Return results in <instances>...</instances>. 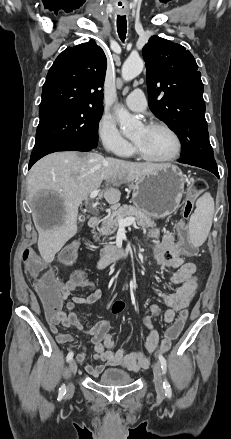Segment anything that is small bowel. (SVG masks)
<instances>
[{
    "label": "small bowel",
    "instance_id": "c3829d8e",
    "mask_svg": "<svg viewBox=\"0 0 231 439\" xmlns=\"http://www.w3.org/2000/svg\"><path fill=\"white\" fill-rule=\"evenodd\" d=\"M150 236L156 239L155 258L157 262L165 268L175 269V272L170 277V281L178 285L177 289L169 294L156 290L157 296L167 307L163 314L164 320L166 322H173L178 313V307L186 306L188 309L191 300L198 290L197 267L193 263L182 262L177 257V252L183 250V248L180 243L174 241L173 236L165 235L159 237L158 232L155 230L150 232ZM80 286L83 285L75 280L73 275L69 280L60 284V305L56 309L59 313V318L58 320H49L48 318L51 331L57 341L64 344L74 339L72 335L60 332L58 329L59 325L66 328H75L84 334L90 335L94 347V359L100 362V364L95 366L87 365L85 367L87 373L93 377H97L107 366L120 367L128 371L148 368L150 365L148 353L153 352L159 343V333L154 328L150 316H146L143 320L149 331L145 341V351L128 352L125 349L114 351L111 326L108 321H99L92 327L85 329L74 313L75 305L93 304L102 296V291L99 288H93L86 296H72V292ZM142 289L139 294L144 297L147 294L146 292L152 289V286L149 283H145ZM148 310L151 316H158L161 312L157 304L149 305ZM170 346L171 341L164 338L157 352H167ZM84 358L85 352L77 355L78 361H83Z\"/></svg>",
    "mask_w": 231,
    "mask_h": 439
}]
</instances>
